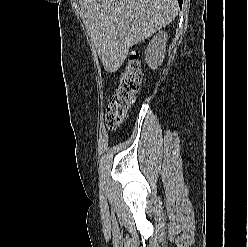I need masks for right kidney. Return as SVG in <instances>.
Instances as JSON below:
<instances>
[{
  "mask_svg": "<svg viewBox=\"0 0 248 247\" xmlns=\"http://www.w3.org/2000/svg\"><path fill=\"white\" fill-rule=\"evenodd\" d=\"M167 34L164 31L157 33L145 50V60L152 69H156L164 60L166 53Z\"/></svg>",
  "mask_w": 248,
  "mask_h": 247,
  "instance_id": "right-kidney-1",
  "label": "right kidney"
}]
</instances>
